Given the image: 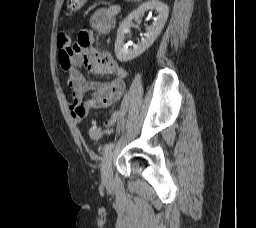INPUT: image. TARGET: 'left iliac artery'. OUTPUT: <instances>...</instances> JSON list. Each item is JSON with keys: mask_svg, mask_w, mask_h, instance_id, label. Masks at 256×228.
<instances>
[{"mask_svg": "<svg viewBox=\"0 0 256 228\" xmlns=\"http://www.w3.org/2000/svg\"><path fill=\"white\" fill-rule=\"evenodd\" d=\"M114 147V143L110 142L104 146V153L107 154Z\"/></svg>", "mask_w": 256, "mask_h": 228, "instance_id": "left-iliac-artery-1", "label": "left iliac artery"}]
</instances>
